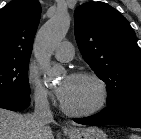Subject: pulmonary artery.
<instances>
[{
  "label": "pulmonary artery",
  "instance_id": "obj_1",
  "mask_svg": "<svg viewBox=\"0 0 141 139\" xmlns=\"http://www.w3.org/2000/svg\"><path fill=\"white\" fill-rule=\"evenodd\" d=\"M74 55V48L68 41L61 42L54 51V56L62 62L70 61Z\"/></svg>",
  "mask_w": 141,
  "mask_h": 139
}]
</instances>
